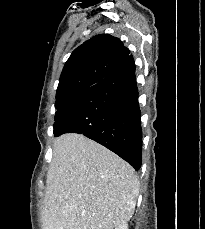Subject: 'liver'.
<instances>
[{
	"label": "liver",
	"instance_id": "6515ba94",
	"mask_svg": "<svg viewBox=\"0 0 205 229\" xmlns=\"http://www.w3.org/2000/svg\"><path fill=\"white\" fill-rule=\"evenodd\" d=\"M134 169L104 146L68 133L53 144L43 201V229H113L134 212Z\"/></svg>",
	"mask_w": 205,
	"mask_h": 229
}]
</instances>
